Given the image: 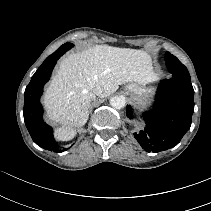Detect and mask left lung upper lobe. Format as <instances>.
Listing matches in <instances>:
<instances>
[{"mask_svg": "<svg viewBox=\"0 0 211 211\" xmlns=\"http://www.w3.org/2000/svg\"><path fill=\"white\" fill-rule=\"evenodd\" d=\"M165 64L170 73L173 75H184L190 76L186 67L171 53L166 52L165 54Z\"/></svg>", "mask_w": 211, "mask_h": 211, "instance_id": "1", "label": "left lung upper lobe"}]
</instances>
